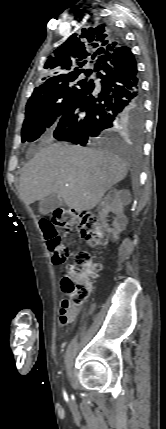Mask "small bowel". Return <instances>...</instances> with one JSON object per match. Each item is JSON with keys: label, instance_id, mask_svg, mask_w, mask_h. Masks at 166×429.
Listing matches in <instances>:
<instances>
[{"label": "small bowel", "instance_id": "small-bowel-1", "mask_svg": "<svg viewBox=\"0 0 166 429\" xmlns=\"http://www.w3.org/2000/svg\"><path fill=\"white\" fill-rule=\"evenodd\" d=\"M78 314L77 309L67 300H62L59 305V324L61 326L73 322Z\"/></svg>", "mask_w": 166, "mask_h": 429}]
</instances>
